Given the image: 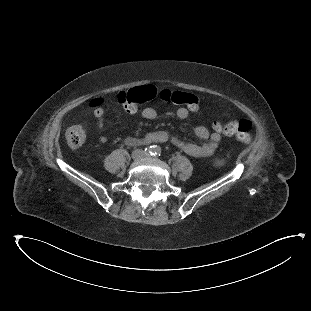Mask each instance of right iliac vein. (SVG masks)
<instances>
[{
    "label": "right iliac vein",
    "instance_id": "obj_1",
    "mask_svg": "<svg viewBox=\"0 0 311 311\" xmlns=\"http://www.w3.org/2000/svg\"><path fill=\"white\" fill-rule=\"evenodd\" d=\"M143 157V154H142V152L141 151H134L133 153H132V158L134 159V160H138V159H140V158H142Z\"/></svg>",
    "mask_w": 311,
    "mask_h": 311
}]
</instances>
